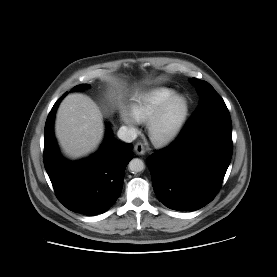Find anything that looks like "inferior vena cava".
<instances>
[{"instance_id": "602c4592", "label": "inferior vena cava", "mask_w": 277, "mask_h": 277, "mask_svg": "<svg viewBox=\"0 0 277 277\" xmlns=\"http://www.w3.org/2000/svg\"><path fill=\"white\" fill-rule=\"evenodd\" d=\"M117 136L124 142L130 143L137 138V133L134 128H129L126 126L120 127L117 132Z\"/></svg>"}]
</instances>
